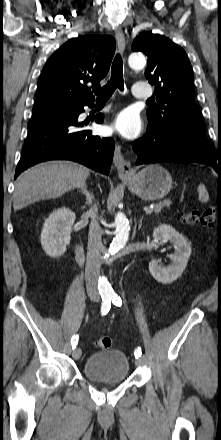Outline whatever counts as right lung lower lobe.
Segmentation results:
<instances>
[{"label":"right lung lower lobe","mask_w":221,"mask_h":440,"mask_svg":"<svg viewBox=\"0 0 221 440\" xmlns=\"http://www.w3.org/2000/svg\"><path fill=\"white\" fill-rule=\"evenodd\" d=\"M93 102L32 113L28 137L23 146L15 178L27 168L47 160H72L100 173L109 174L115 142L113 138L93 136L78 122L83 107ZM103 122V115L95 118Z\"/></svg>","instance_id":"98d812e1"}]
</instances>
